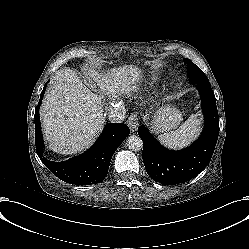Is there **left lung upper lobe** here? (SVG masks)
<instances>
[{"instance_id": "left-lung-upper-lobe-1", "label": "left lung upper lobe", "mask_w": 249, "mask_h": 249, "mask_svg": "<svg viewBox=\"0 0 249 249\" xmlns=\"http://www.w3.org/2000/svg\"><path fill=\"white\" fill-rule=\"evenodd\" d=\"M185 63L188 66V73L190 75V78L193 82H203L208 83V78L206 75L201 71L192 61L189 59L184 58Z\"/></svg>"}]
</instances>
